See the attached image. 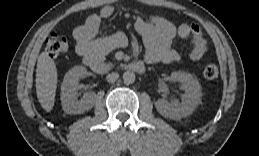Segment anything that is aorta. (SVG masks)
Wrapping results in <instances>:
<instances>
[{"instance_id": "obj_1", "label": "aorta", "mask_w": 259, "mask_h": 156, "mask_svg": "<svg viewBox=\"0 0 259 156\" xmlns=\"http://www.w3.org/2000/svg\"><path fill=\"white\" fill-rule=\"evenodd\" d=\"M123 81L126 84H132L135 82V73L133 71L127 70L123 73Z\"/></svg>"}]
</instances>
